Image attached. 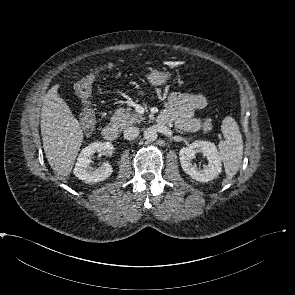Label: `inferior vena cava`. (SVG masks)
Returning a JSON list of instances; mask_svg holds the SVG:
<instances>
[{"instance_id": "obj_1", "label": "inferior vena cava", "mask_w": 295, "mask_h": 295, "mask_svg": "<svg viewBox=\"0 0 295 295\" xmlns=\"http://www.w3.org/2000/svg\"><path fill=\"white\" fill-rule=\"evenodd\" d=\"M124 138L126 140H134L139 135V128L137 127H128L124 130Z\"/></svg>"}]
</instances>
